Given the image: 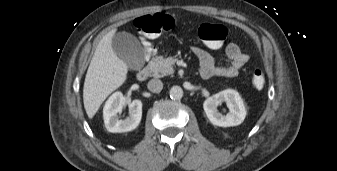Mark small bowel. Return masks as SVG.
I'll return each instance as SVG.
<instances>
[{
    "instance_id": "c3829d8e",
    "label": "small bowel",
    "mask_w": 337,
    "mask_h": 171,
    "mask_svg": "<svg viewBox=\"0 0 337 171\" xmlns=\"http://www.w3.org/2000/svg\"><path fill=\"white\" fill-rule=\"evenodd\" d=\"M193 53L200 63V75L203 79H210L214 76L234 78L249 60V56L242 52L235 43H229L225 47L228 65L218 66L215 64L213 56L205 49L194 47Z\"/></svg>"
}]
</instances>
